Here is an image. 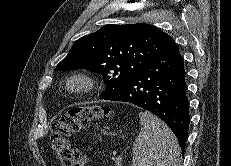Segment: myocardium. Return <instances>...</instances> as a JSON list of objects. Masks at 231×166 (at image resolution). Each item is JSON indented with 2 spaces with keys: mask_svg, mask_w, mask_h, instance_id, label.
Here are the masks:
<instances>
[{
  "mask_svg": "<svg viewBox=\"0 0 231 166\" xmlns=\"http://www.w3.org/2000/svg\"><path fill=\"white\" fill-rule=\"evenodd\" d=\"M97 77L89 71H73L62 81L63 90L71 95H84L96 89Z\"/></svg>",
  "mask_w": 231,
  "mask_h": 166,
  "instance_id": "1",
  "label": "myocardium"
}]
</instances>
